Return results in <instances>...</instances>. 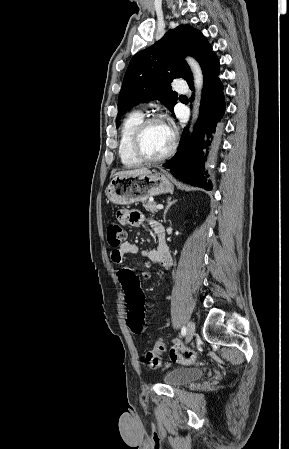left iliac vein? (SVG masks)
I'll use <instances>...</instances> for the list:
<instances>
[{"label": "left iliac vein", "mask_w": 289, "mask_h": 449, "mask_svg": "<svg viewBox=\"0 0 289 449\" xmlns=\"http://www.w3.org/2000/svg\"><path fill=\"white\" fill-rule=\"evenodd\" d=\"M195 332V324L193 321H189L187 324V330H186V342H190L194 336Z\"/></svg>", "instance_id": "1"}]
</instances>
